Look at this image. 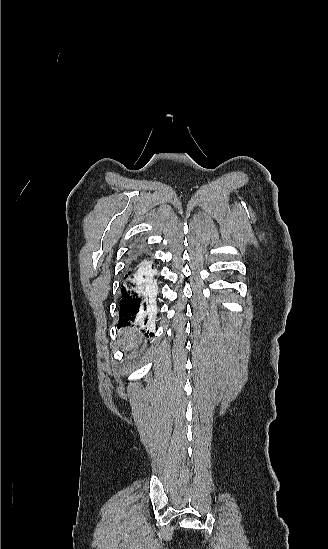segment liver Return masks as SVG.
Returning <instances> with one entry per match:
<instances>
[{"mask_svg":"<svg viewBox=\"0 0 328 549\" xmlns=\"http://www.w3.org/2000/svg\"><path fill=\"white\" fill-rule=\"evenodd\" d=\"M120 337V343L124 351H132V349H135V347H139L142 341L141 337H138L136 333H133L132 329H123V331H121Z\"/></svg>","mask_w":328,"mask_h":549,"instance_id":"1","label":"liver"}]
</instances>
